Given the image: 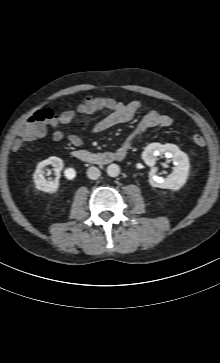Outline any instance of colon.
I'll return each instance as SVG.
<instances>
[{"mask_svg":"<svg viewBox=\"0 0 220 363\" xmlns=\"http://www.w3.org/2000/svg\"><path fill=\"white\" fill-rule=\"evenodd\" d=\"M55 118V112L51 108H42L35 111L21 127L15 145L19 146L23 142L42 137L45 133L46 125ZM192 140L197 146L205 145V138L200 134L193 135Z\"/></svg>","mask_w":220,"mask_h":363,"instance_id":"colon-1","label":"colon"}]
</instances>
